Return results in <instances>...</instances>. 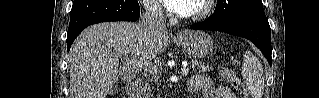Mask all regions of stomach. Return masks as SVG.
<instances>
[{
    "instance_id": "obj_1",
    "label": "stomach",
    "mask_w": 319,
    "mask_h": 98,
    "mask_svg": "<svg viewBox=\"0 0 319 98\" xmlns=\"http://www.w3.org/2000/svg\"><path fill=\"white\" fill-rule=\"evenodd\" d=\"M180 44L186 54L202 59L213 51V40L202 31H186L180 39Z\"/></svg>"
}]
</instances>
